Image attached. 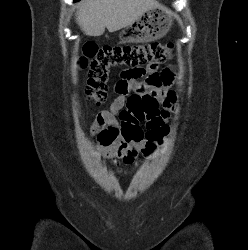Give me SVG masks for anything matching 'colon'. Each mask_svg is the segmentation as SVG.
Masks as SVG:
<instances>
[{"label": "colon", "mask_w": 248, "mask_h": 250, "mask_svg": "<svg viewBox=\"0 0 248 250\" xmlns=\"http://www.w3.org/2000/svg\"><path fill=\"white\" fill-rule=\"evenodd\" d=\"M171 54L172 46L169 43L103 47L87 43L82 47V56L78 61L80 68L88 69L86 95L93 102L100 104L107 97L111 69L131 67L133 69L129 75L137 77L141 73L140 67H157L170 58ZM170 82L169 71L154 73L148 78V83L158 88H165ZM165 97V101L173 99L170 93L165 94ZM127 106L136 119L144 120L159 109V99L151 94L132 93Z\"/></svg>", "instance_id": "1"}]
</instances>
